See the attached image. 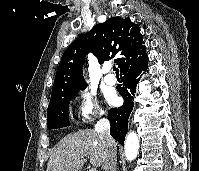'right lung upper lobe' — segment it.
Segmentation results:
<instances>
[{
	"label": "right lung upper lobe",
	"instance_id": "right-lung-upper-lobe-1",
	"mask_svg": "<svg viewBox=\"0 0 199 171\" xmlns=\"http://www.w3.org/2000/svg\"><path fill=\"white\" fill-rule=\"evenodd\" d=\"M145 48L139 26L129 18H110L95 25L63 53L49 105L72 96L80 86L85 87L82 67L89 51L97 56L99 63L117 57L115 62L121 70L142 59L146 55Z\"/></svg>",
	"mask_w": 199,
	"mask_h": 171
}]
</instances>
